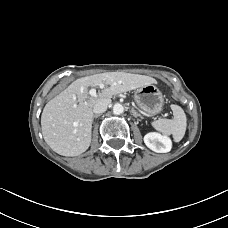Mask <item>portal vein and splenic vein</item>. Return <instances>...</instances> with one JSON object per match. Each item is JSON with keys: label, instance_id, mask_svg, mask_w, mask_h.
Here are the masks:
<instances>
[{"label": "portal vein and splenic vein", "instance_id": "1", "mask_svg": "<svg viewBox=\"0 0 228 228\" xmlns=\"http://www.w3.org/2000/svg\"><path fill=\"white\" fill-rule=\"evenodd\" d=\"M104 87V85H100V88H103ZM89 94L92 96V97H96L97 96V93H96V89L95 88H91L90 90H89Z\"/></svg>", "mask_w": 228, "mask_h": 228}]
</instances>
